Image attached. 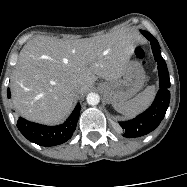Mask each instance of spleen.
<instances>
[{"instance_id":"obj_1","label":"spleen","mask_w":187,"mask_h":187,"mask_svg":"<svg viewBox=\"0 0 187 187\" xmlns=\"http://www.w3.org/2000/svg\"><path fill=\"white\" fill-rule=\"evenodd\" d=\"M156 94L155 86H148L143 92L129 101L113 104L114 109L120 114L133 117L144 111L153 101Z\"/></svg>"}]
</instances>
